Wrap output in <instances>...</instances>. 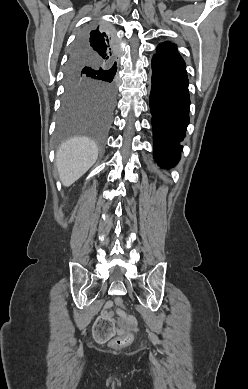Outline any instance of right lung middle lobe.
<instances>
[{"instance_id":"1","label":"right lung middle lobe","mask_w":248,"mask_h":389,"mask_svg":"<svg viewBox=\"0 0 248 389\" xmlns=\"http://www.w3.org/2000/svg\"><path fill=\"white\" fill-rule=\"evenodd\" d=\"M96 23L85 29L84 37ZM117 67L74 47L66 67V93L59 117L57 142L76 135H88L102 147L109 124L117 87L114 80Z\"/></svg>"}]
</instances>
